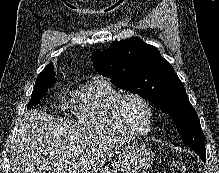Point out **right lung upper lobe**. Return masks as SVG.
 Listing matches in <instances>:
<instances>
[{
	"label": "right lung upper lobe",
	"instance_id": "right-lung-upper-lobe-1",
	"mask_svg": "<svg viewBox=\"0 0 219 173\" xmlns=\"http://www.w3.org/2000/svg\"><path fill=\"white\" fill-rule=\"evenodd\" d=\"M53 72H54V66H53L52 63H50L49 65H47L45 67V69L40 74H42V73H53Z\"/></svg>",
	"mask_w": 219,
	"mask_h": 173
}]
</instances>
